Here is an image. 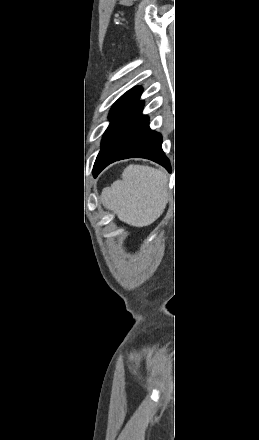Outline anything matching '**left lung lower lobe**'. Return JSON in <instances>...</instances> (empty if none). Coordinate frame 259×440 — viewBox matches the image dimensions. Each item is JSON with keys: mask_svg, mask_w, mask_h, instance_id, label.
<instances>
[{"mask_svg": "<svg viewBox=\"0 0 259 440\" xmlns=\"http://www.w3.org/2000/svg\"><path fill=\"white\" fill-rule=\"evenodd\" d=\"M143 105V102H137L117 127L96 159L94 176L114 161L133 157L153 160L171 171L170 162L161 148V134L149 128L148 117L142 115Z\"/></svg>", "mask_w": 259, "mask_h": 440, "instance_id": "left-lung-lower-lobe-1", "label": "left lung lower lobe"}]
</instances>
